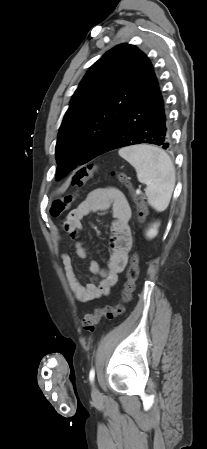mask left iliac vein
Masks as SVG:
<instances>
[{
	"label": "left iliac vein",
	"instance_id": "4c4485c4",
	"mask_svg": "<svg viewBox=\"0 0 207 449\" xmlns=\"http://www.w3.org/2000/svg\"><path fill=\"white\" fill-rule=\"evenodd\" d=\"M92 398H93V399H99V398H100V392H99V390L97 389L96 386H93V389H92Z\"/></svg>",
	"mask_w": 207,
	"mask_h": 449
}]
</instances>
